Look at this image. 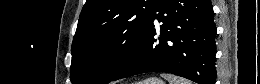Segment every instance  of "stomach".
Returning <instances> with one entry per match:
<instances>
[{
    "instance_id": "0dacf381",
    "label": "stomach",
    "mask_w": 260,
    "mask_h": 84,
    "mask_svg": "<svg viewBox=\"0 0 260 84\" xmlns=\"http://www.w3.org/2000/svg\"><path fill=\"white\" fill-rule=\"evenodd\" d=\"M138 84H164V82L157 77H150L148 79L139 82Z\"/></svg>"
}]
</instances>
